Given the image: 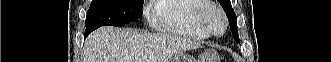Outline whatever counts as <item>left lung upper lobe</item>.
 <instances>
[{
    "mask_svg": "<svg viewBox=\"0 0 331 62\" xmlns=\"http://www.w3.org/2000/svg\"><path fill=\"white\" fill-rule=\"evenodd\" d=\"M218 1L220 2L221 6L223 7V9L228 17L232 34L234 36V39H236V37H238L237 17L231 6V2H230V0H218Z\"/></svg>",
    "mask_w": 331,
    "mask_h": 62,
    "instance_id": "left-lung-upper-lobe-1",
    "label": "left lung upper lobe"
}]
</instances>
